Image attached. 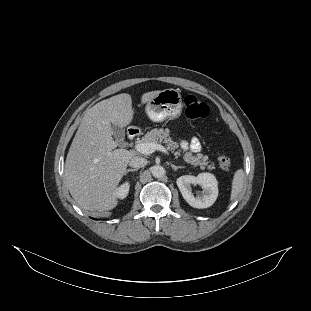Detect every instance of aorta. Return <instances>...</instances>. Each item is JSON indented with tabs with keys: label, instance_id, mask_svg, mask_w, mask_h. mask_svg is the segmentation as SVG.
Returning <instances> with one entry per match:
<instances>
[{
	"label": "aorta",
	"instance_id": "aorta-1",
	"mask_svg": "<svg viewBox=\"0 0 311 311\" xmlns=\"http://www.w3.org/2000/svg\"><path fill=\"white\" fill-rule=\"evenodd\" d=\"M152 176L154 178H162L165 175V169L161 165H155L151 168Z\"/></svg>",
	"mask_w": 311,
	"mask_h": 311
}]
</instances>
